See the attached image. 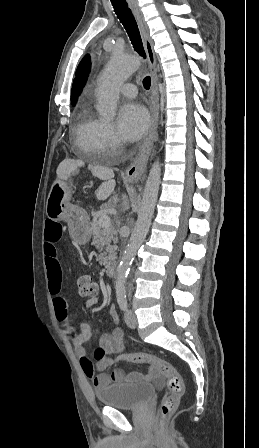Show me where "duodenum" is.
Masks as SVG:
<instances>
[{
  "label": "duodenum",
  "instance_id": "duodenum-1",
  "mask_svg": "<svg viewBox=\"0 0 259 448\" xmlns=\"http://www.w3.org/2000/svg\"><path fill=\"white\" fill-rule=\"evenodd\" d=\"M118 264L116 262L110 263L106 268V274L110 278H114L117 274Z\"/></svg>",
  "mask_w": 259,
  "mask_h": 448
}]
</instances>
